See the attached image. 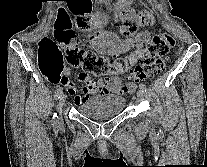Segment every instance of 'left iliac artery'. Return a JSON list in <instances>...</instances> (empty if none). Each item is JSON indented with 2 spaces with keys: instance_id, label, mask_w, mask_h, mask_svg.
Segmentation results:
<instances>
[{
  "instance_id": "obj_1",
  "label": "left iliac artery",
  "mask_w": 207,
  "mask_h": 167,
  "mask_svg": "<svg viewBox=\"0 0 207 167\" xmlns=\"http://www.w3.org/2000/svg\"><path fill=\"white\" fill-rule=\"evenodd\" d=\"M139 87H140V89H141L143 92H146V86H145L143 83H141V84L139 85Z\"/></svg>"
}]
</instances>
